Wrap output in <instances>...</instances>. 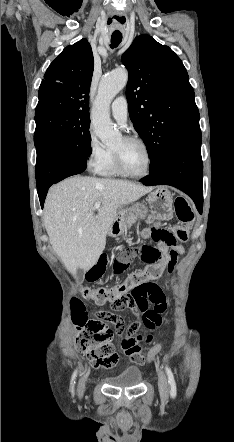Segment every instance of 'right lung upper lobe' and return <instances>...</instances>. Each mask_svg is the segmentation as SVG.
Returning <instances> with one entry per match:
<instances>
[{
    "label": "right lung upper lobe",
    "mask_w": 234,
    "mask_h": 442,
    "mask_svg": "<svg viewBox=\"0 0 234 442\" xmlns=\"http://www.w3.org/2000/svg\"><path fill=\"white\" fill-rule=\"evenodd\" d=\"M93 69V53L86 39L67 46L44 75L35 117L61 111L89 112Z\"/></svg>",
    "instance_id": "right-lung-upper-lobe-1"
}]
</instances>
